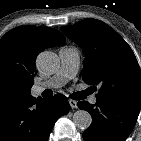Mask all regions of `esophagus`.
I'll list each match as a JSON object with an SVG mask.
<instances>
[{
  "label": "esophagus",
  "mask_w": 141,
  "mask_h": 141,
  "mask_svg": "<svg viewBox=\"0 0 141 141\" xmlns=\"http://www.w3.org/2000/svg\"><path fill=\"white\" fill-rule=\"evenodd\" d=\"M69 104L71 108H77V102L75 100L69 99Z\"/></svg>",
  "instance_id": "34e87169"
}]
</instances>
